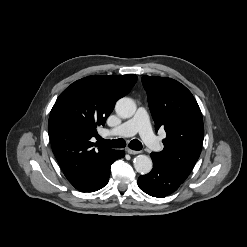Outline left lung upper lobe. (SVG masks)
<instances>
[{"label":"left lung upper lobe","mask_w":247,"mask_h":247,"mask_svg":"<svg viewBox=\"0 0 247 247\" xmlns=\"http://www.w3.org/2000/svg\"><path fill=\"white\" fill-rule=\"evenodd\" d=\"M155 130L164 128V149L151 156L188 176L198 160L204 138L201 110L191 92L171 78L143 76Z\"/></svg>","instance_id":"obj_1"}]
</instances>
